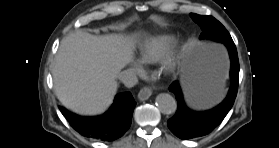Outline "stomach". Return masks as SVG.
I'll use <instances>...</instances> for the list:
<instances>
[{"mask_svg":"<svg viewBox=\"0 0 279 148\" xmlns=\"http://www.w3.org/2000/svg\"><path fill=\"white\" fill-rule=\"evenodd\" d=\"M226 65L222 52L213 53L210 48L199 45L186 48L183 73L188 79L183 85L193 107L206 108L219 100Z\"/></svg>","mask_w":279,"mask_h":148,"instance_id":"stomach-1","label":"stomach"}]
</instances>
